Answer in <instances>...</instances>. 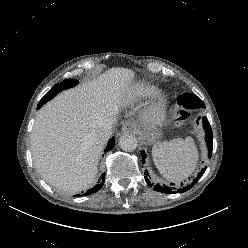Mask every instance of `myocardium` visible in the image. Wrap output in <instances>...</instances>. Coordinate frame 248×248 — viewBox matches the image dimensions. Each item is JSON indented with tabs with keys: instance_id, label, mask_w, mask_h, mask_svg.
Listing matches in <instances>:
<instances>
[{
	"instance_id": "1",
	"label": "myocardium",
	"mask_w": 248,
	"mask_h": 248,
	"mask_svg": "<svg viewBox=\"0 0 248 248\" xmlns=\"http://www.w3.org/2000/svg\"><path fill=\"white\" fill-rule=\"evenodd\" d=\"M168 107L169 97L165 93H159L149 102L143 117L148 123L159 124L165 119Z\"/></svg>"
}]
</instances>
